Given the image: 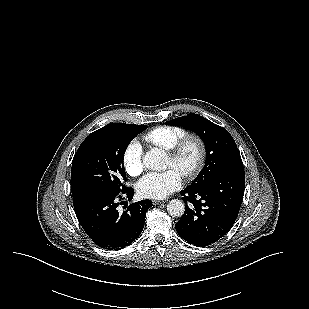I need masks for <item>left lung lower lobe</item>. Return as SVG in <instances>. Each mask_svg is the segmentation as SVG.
<instances>
[{
	"label": "left lung lower lobe",
	"mask_w": 309,
	"mask_h": 309,
	"mask_svg": "<svg viewBox=\"0 0 309 309\" xmlns=\"http://www.w3.org/2000/svg\"><path fill=\"white\" fill-rule=\"evenodd\" d=\"M245 188L244 170L220 174L194 188L180 191L185 213L176 223L177 233L195 246H208L232 228L240 210Z\"/></svg>",
	"instance_id": "obj_1"
}]
</instances>
